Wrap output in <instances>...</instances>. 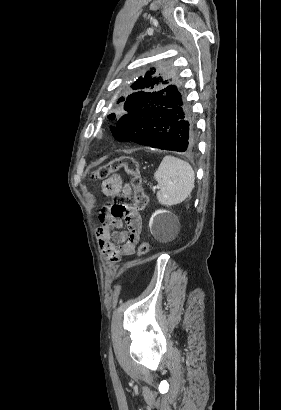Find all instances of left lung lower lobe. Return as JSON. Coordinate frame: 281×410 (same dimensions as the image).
Listing matches in <instances>:
<instances>
[{
  "label": "left lung lower lobe",
  "instance_id": "1",
  "mask_svg": "<svg viewBox=\"0 0 281 410\" xmlns=\"http://www.w3.org/2000/svg\"><path fill=\"white\" fill-rule=\"evenodd\" d=\"M111 131L118 141L171 151L191 152L197 144L195 123L177 84L156 92L140 111L122 116Z\"/></svg>",
  "mask_w": 281,
  "mask_h": 410
}]
</instances>
